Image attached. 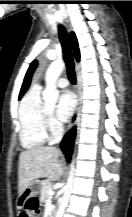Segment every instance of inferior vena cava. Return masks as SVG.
Wrapping results in <instances>:
<instances>
[{
	"label": "inferior vena cava",
	"instance_id": "602c4592",
	"mask_svg": "<svg viewBox=\"0 0 132 217\" xmlns=\"http://www.w3.org/2000/svg\"><path fill=\"white\" fill-rule=\"evenodd\" d=\"M64 131L63 125L59 124L58 129H57V134L62 135Z\"/></svg>",
	"mask_w": 132,
	"mask_h": 217
}]
</instances>
